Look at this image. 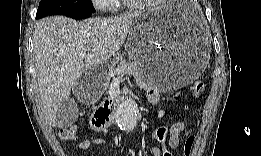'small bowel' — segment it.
<instances>
[{"label":"small bowel","instance_id":"1","mask_svg":"<svg viewBox=\"0 0 261 156\" xmlns=\"http://www.w3.org/2000/svg\"><path fill=\"white\" fill-rule=\"evenodd\" d=\"M147 95L152 104H157L159 101V95L154 89H148ZM187 130V126L183 122H176L172 124L168 129V147L171 150H175L179 146V137L181 133H184ZM153 141H160L158 139L157 133L153 135ZM104 142L101 138H92L89 135H85L82 141L79 143V148L81 150H87L93 145L102 144ZM151 154L153 156H170V154L164 150H161L158 147L153 146L151 148Z\"/></svg>","mask_w":261,"mask_h":156}]
</instances>
